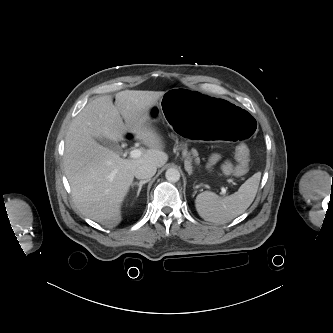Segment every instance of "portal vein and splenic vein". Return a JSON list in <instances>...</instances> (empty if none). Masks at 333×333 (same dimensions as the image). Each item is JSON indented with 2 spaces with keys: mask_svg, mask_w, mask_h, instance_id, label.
<instances>
[{
  "mask_svg": "<svg viewBox=\"0 0 333 333\" xmlns=\"http://www.w3.org/2000/svg\"><path fill=\"white\" fill-rule=\"evenodd\" d=\"M141 155H142V151L140 149H134L130 152V157L134 158V159L141 157ZM221 191H222L221 192L222 195L226 194V189L225 188H222Z\"/></svg>",
  "mask_w": 333,
  "mask_h": 333,
  "instance_id": "18ae733b",
  "label": "portal vein and splenic vein"
}]
</instances>
